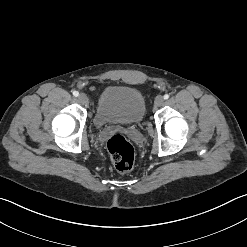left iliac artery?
Returning a JSON list of instances; mask_svg holds the SVG:
<instances>
[{
	"label": "left iliac artery",
	"mask_w": 247,
	"mask_h": 247,
	"mask_svg": "<svg viewBox=\"0 0 247 247\" xmlns=\"http://www.w3.org/2000/svg\"><path fill=\"white\" fill-rule=\"evenodd\" d=\"M169 98V94L164 95V99L167 100Z\"/></svg>",
	"instance_id": "1"
}]
</instances>
